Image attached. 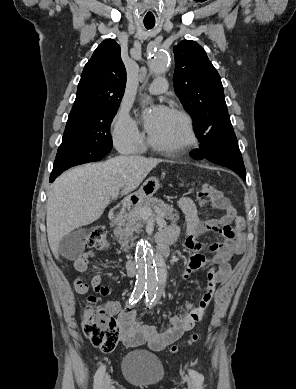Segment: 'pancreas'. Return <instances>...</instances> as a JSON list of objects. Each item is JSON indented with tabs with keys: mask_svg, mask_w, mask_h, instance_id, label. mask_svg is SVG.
Returning a JSON list of instances; mask_svg holds the SVG:
<instances>
[{
	"mask_svg": "<svg viewBox=\"0 0 296 389\" xmlns=\"http://www.w3.org/2000/svg\"><path fill=\"white\" fill-rule=\"evenodd\" d=\"M153 208L157 215H160L168 220L177 221L179 215L176 210L160 199H150L145 203L139 204L133 209L124 213L122 219L119 220L114 229V235L118 239L121 248L128 252L130 249L129 243L133 240L134 234L140 233L144 226L143 217L140 215V208Z\"/></svg>",
	"mask_w": 296,
	"mask_h": 389,
	"instance_id": "cf45deb5",
	"label": "pancreas"
}]
</instances>
